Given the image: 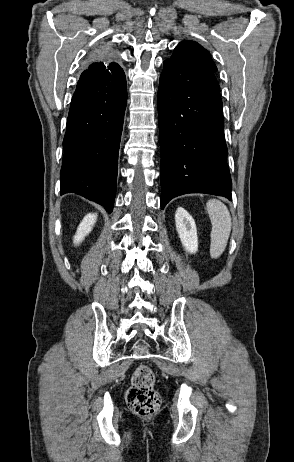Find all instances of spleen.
Instances as JSON below:
<instances>
[{
    "label": "spleen",
    "instance_id": "obj_1",
    "mask_svg": "<svg viewBox=\"0 0 294 462\" xmlns=\"http://www.w3.org/2000/svg\"><path fill=\"white\" fill-rule=\"evenodd\" d=\"M206 207L212 223L210 254L217 258L227 245L232 226L231 216L227 207L219 200H209Z\"/></svg>",
    "mask_w": 294,
    "mask_h": 462
}]
</instances>
